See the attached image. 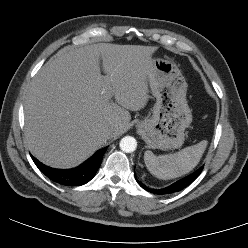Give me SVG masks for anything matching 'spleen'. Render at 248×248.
<instances>
[{"mask_svg": "<svg viewBox=\"0 0 248 248\" xmlns=\"http://www.w3.org/2000/svg\"><path fill=\"white\" fill-rule=\"evenodd\" d=\"M207 144L208 142L203 140L170 155L156 156L152 151H146L144 161L155 177L163 180L174 179L189 173L198 165Z\"/></svg>", "mask_w": 248, "mask_h": 248, "instance_id": "3e777b00", "label": "spleen"}]
</instances>
